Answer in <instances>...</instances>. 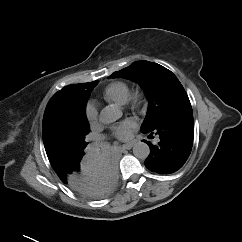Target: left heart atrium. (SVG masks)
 <instances>
[{
	"label": "left heart atrium",
	"instance_id": "obj_1",
	"mask_svg": "<svg viewBox=\"0 0 242 242\" xmlns=\"http://www.w3.org/2000/svg\"><path fill=\"white\" fill-rule=\"evenodd\" d=\"M136 126V123L132 119H126L113 127L114 136L121 140L126 141L131 136L132 129Z\"/></svg>",
	"mask_w": 242,
	"mask_h": 242
}]
</instances>
